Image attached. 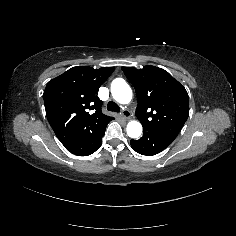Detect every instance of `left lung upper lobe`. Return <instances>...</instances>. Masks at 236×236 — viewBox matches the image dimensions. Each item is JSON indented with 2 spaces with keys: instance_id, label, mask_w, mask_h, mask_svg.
Instances as JSON below:
<instances>
[{
  "instance_id": "5c2ea615",
  "label": "left lung upper lobe",
  "mask_w": 236,
  "mask_h": 236,
  "mask_svg": "<svg viewBox=\"0 0 236 236\" xmlns=\"http://www.w3.org/2000/svg\"><path fill=\"white\" fill-rule=\"evenodd\" d=\"M122 70L135 88V115L143 130L177 136L189 116L186 89L167 71L155 66Z\"/></svg>"
}]
</instances>
